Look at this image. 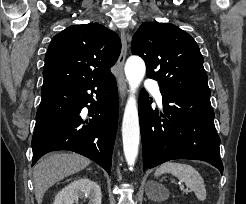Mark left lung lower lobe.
Listing matches in <instances>:
<instances>
[{"label":"left lung lower lobe","mask_w":246,"mask_h":204,"mask_svg":"<svg viewBox=\"0 0 246 204\" xmlns=\"http://www.w3.org/2000/svg\"><path fill=\"white\" fill-rule=\"evenodd\" d=\"M160 92L164 113L151 108L145 89L139 96L143 171L173 159H196L222 174L210 92L177 88H160Z\"/></svg>","instance_id":"0a47b994"}]
</instances>
